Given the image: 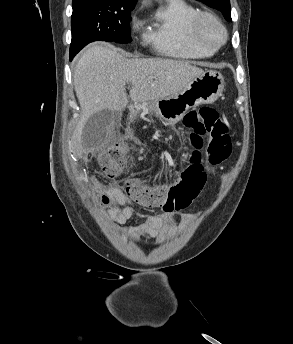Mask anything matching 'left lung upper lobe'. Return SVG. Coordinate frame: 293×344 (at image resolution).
Returning <instances> with one entry per match:
<instances>
[{
	"label": "left lung upper lobe",
	"mask_w": 293,
	"mask_h": 344,
	"mask_svg": "<svg viewBox=\"0 0 293 344\" xmlns=\"http://www.w3.org/2000/svg\"><path fill=\"white\" fill-rule=\"evenodd\" d=\"M208 5L211 8H215L222 12L224 17L231 21V6L230 0H198Z\"/></svg>",
	"instance_id": "left-lung-upper-lobe-1"
}]
</instances>
